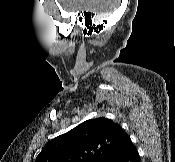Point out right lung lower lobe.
<instances>
[{"mask_svg":"<svg viewBox=\"0 0 175 162\" xmlns=\"http://www.w3.org/2000/svg\"><path fill=\"white\" fill-rule=\"evenodd\" d=\"M112 162H140L138 151L133 146L130 150L116 156Z\"/></svg>","mask_w":175,"mask_h":162,"instance_id":"obj_1","label":"right lung lower lobe"}]
</instances>
